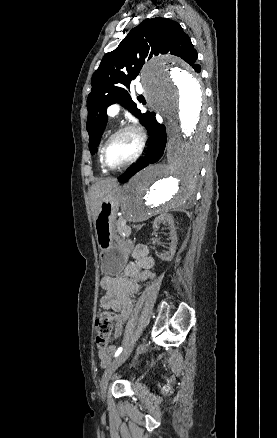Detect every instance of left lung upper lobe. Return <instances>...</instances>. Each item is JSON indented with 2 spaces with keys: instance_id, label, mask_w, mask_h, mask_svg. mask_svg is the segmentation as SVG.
I'll return each mask as SVG.
<instances>
[{
  "instance_id": "5c2ea615",
  "label": "left lung upper lobe",
  "mask_w": 277,
  "mask_h": 438,
  "mask_svg": "<svg viewBox=\"0 0 277 438\" xmlns=\"http://www.w3.org/2000/svg\"><path fill=\"white\" fill-rule=\"evenodd\" d=\"M172 54L181 57L200 71L195 64L197 51L189 36L176 21L156 17L144 20L133 28L119 46L107 53L92 76V91L87 98L89 149L95 153L106 126V109L120 102L149 129L155 113L142 114L128 93L132 79H135L143 64L153 55Z\"/></svg>"
}]
</instances>
